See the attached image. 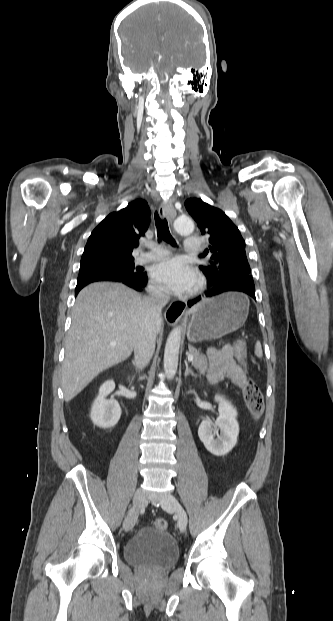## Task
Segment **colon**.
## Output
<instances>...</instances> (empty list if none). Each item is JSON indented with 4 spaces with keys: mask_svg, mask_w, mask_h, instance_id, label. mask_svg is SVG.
I'll return each instance as SVG.
<instances>
[{
    "mask_svg": "<svg viewBox=\"0 0 333 621\" xmlns=\"http://www.w3.org/2000/svg\"><path fill=\"white\" fill-rule=\"evenodd\" d=\"M235 357L238 362L246 369V346L244 343H237L234 348ZM243 395L245 403L254 417L261 415L264 409L263 394L258 385L251 379L247 380L244 385ZM154 526L161 530L168 528V522L164 518H157L153 522Z\"/></svg>",
    "mask_w": 333,
    "mask_h": 621,
    "instance_id": "colon-1",
    "label": "colon"
}]
</instances>
